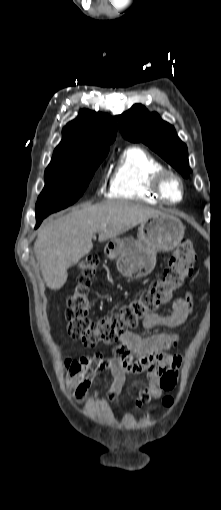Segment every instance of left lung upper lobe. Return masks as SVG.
Listing matches in <instances>:
<instances>
[{"mask_svg":"<svg viewBox=\"0 0 221 510\" xmlns=\"http://www.w3.org/2000/svg\"><path fill=\"white\" fill-rule=\"evenodd\" d=\"M119 129L125 139L143 142L184 177L189 176L186 145L178 138L174 127L163 121L157 113H149L143 105L135 104L121 114Z\"/></svg>","mask_w":221,"mask_h":510,"instance_id":"left-lung-upper-lobe-1","label":"left lung upper lobe"}]
</instances>
